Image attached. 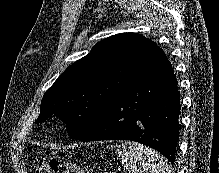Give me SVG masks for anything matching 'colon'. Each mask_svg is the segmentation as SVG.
<instances>
[{
  "instance_id": "1",
  "label": "colon",
  "mask_w": 219,
  "mask_h": 173,
  "mask_svg": "<svg viewBox=\"0 0 219 173\" xmlns=\"http://www.w3.org/2000/svg\"><path fill=\"white\" fill-rule=\"evenodd\" d=\"M35 173H93L88 168H81L57 158L43 159L38 162Z\"/></svg>"
}]
</instances>
